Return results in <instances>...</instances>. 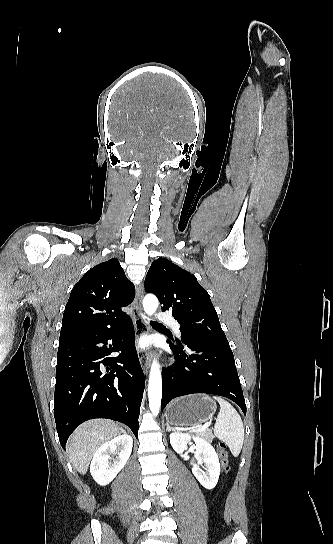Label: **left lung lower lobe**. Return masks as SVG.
<instances>
[{
    "label": "left lung lower lobe",
    "mask_w": 333,
    "mask_h": 544,
    "mask_svg": "<svg viewBox=\"0 0 333 544\" xmlns=\"http://www.w3.org/2000/svg\"><path fill=\"white\" fill-rule=\"evenodd\" d=\"M170 339L167 343L177 361L162 369L161 410L176 397L207 393L231 399L246 415L243 391L228 341L199 338L177 343Z\"/></svg>",
    "instance_id": "obj_1"
}]
</instances>
